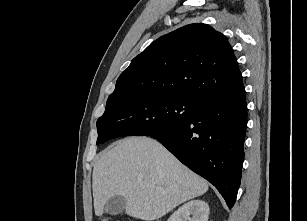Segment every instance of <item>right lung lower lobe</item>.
<instances>
[{
	"instance_id": "1",
	"label": "right lung lower lobe",
	"mask_w": 307,
	"mask_h": 221,
	"mask_svg": "<svg viewBox=\"0 0 307 221\" xmlns=\"http://www.w3.org/2000/svg\"><path fill=\"white\" fill-rule=\"evenodd\" d=\"M247 127L245 88L198 104L185 122L150 135L213 184L232 208L241 180Z\"/></svg>"
}]
</instances>
